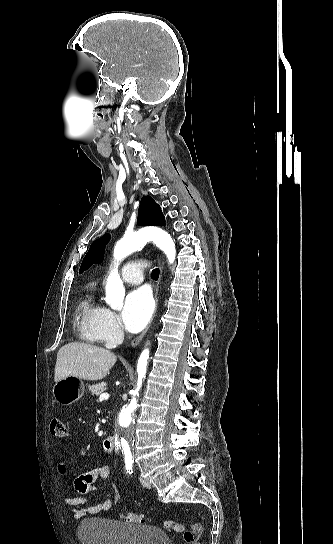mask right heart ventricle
I'll return each mask as SVG.
<instances>
[{
    "instance_id": "e07e8e85",
    "label": "right heart ventricle",
    "mask_w": 333,
    "mask_h": 544,
    "mask_svg": "<svg viewBox=\"0 0 333 544\" xmlns=\"http://www.w3.org/2000/svg\"><path fill=\"white\" fill-rule=\"evenodd\" d=\"M103 307L96 304L92 297L82 301L78 307L77 319L80 334L83 339L90 342H100L98 322Z\"/></svg>"
}]
</instances>
